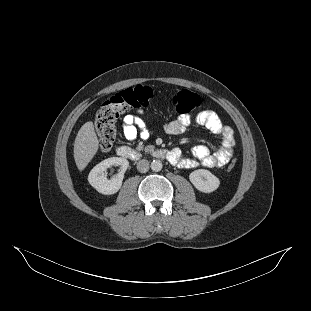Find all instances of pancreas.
<instances>
[{"label":"pancreas","instance_id":"obj_1","mask_svg":"<svg viewBox=\"0 0 311 311\" xmlns=\"http://www.w3.org/2000/svg\"><path fill=\"white\" fill-rule=\"evenodd\" d=\"M154 149H155L154 145L144 146L143 144H138V146H137V150H139V151L144 150L147 153L154 151Z\"/></svg>","mask_w":311,"mask_h":311}]
</instances>
